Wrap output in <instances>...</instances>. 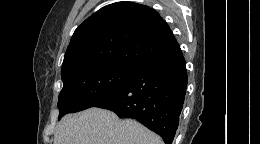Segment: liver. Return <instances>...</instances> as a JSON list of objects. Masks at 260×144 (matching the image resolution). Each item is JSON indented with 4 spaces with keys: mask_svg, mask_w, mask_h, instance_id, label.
<instances>
[{
    "mask_svg": "<svg viewBox=\"0 0 260 144\" xmlns=\"http://www.w3.org/2000/svg\"><path fill=\"white\" fill-rule=\"evenodd\" d=\"M54 144H163L161 138L132 119L109 110L89 108L62 118Z\"/></svg>",
    "mask_w": 260,
    "mask_h": 144,
    "instance_id": "1",
    "label": "liver"
}]
</instances>
